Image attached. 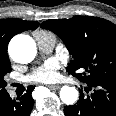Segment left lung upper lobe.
Instances as JSON below:
<instances>
[{"instance_id":"left-lung-upper-lobe-1","label":"left lung upper lobe","mask_w":116,"mask_h":116,"mask_svg":"<svg viewBox=\"0 0 116 116\" xmlns=\"http://www.w3.org/2000/svg\"><path fill=\"white\" fill-rule=\"evenodd\" d=\"M41 28L51 30L66 44L73 57L69 74L84 83L116 79V25L112 22L74 16L44 21Z\"/></svg>"}]
</instances>
